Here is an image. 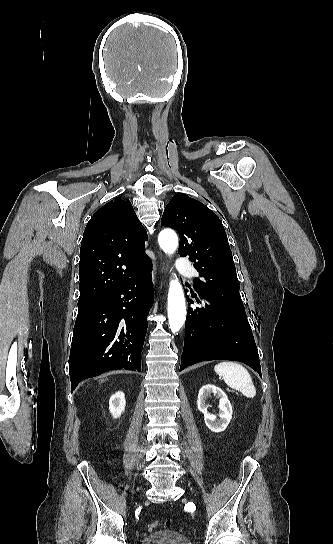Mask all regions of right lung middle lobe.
<instances>
[{
  "instance_id": "obj_1",
  "label": "right lung middle lobe",
  "mask_w": 333,
  "mask_h": 544,
  "mask_svg": "<svg viewBox=\"0 0 333 544\" xmlns=\"http://www.w3.org/2000/svg\"><path fill=\"white\" fill-rule=\"evenodd\" d=\"M105 299L106 298H97V299H91V300L78 301V313H82L84 311L93 309L94 307L98 306L101 302H103Z\"/></svg>"
}]
</instances>
